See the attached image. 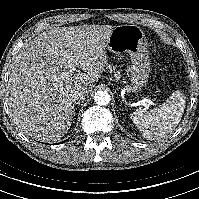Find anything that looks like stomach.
I'll list each match as a JSON object with an SVG mask.
<instances>
[{
  "instance_id": "stomach-1",
  "label": "stomach",
  "mask_w": 199,
  "mask_h": 199,
  "mask_svg": "<svg viewBox=\"0 0 199 199\" xmlns=\"http://www.w3.org/2000/svg\"><path fill=\"white\" fill-rule=\"evenodd\" d=\"M106 48L114 54L130 55V90L140 92L150 73L148 44L143 30L137 25H118L107 39Z\"/></svg>"
}]
</instances>
